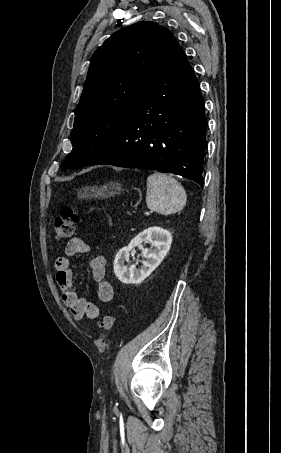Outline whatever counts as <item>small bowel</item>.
<instances>
[{
  "mask_svg": "<svg viewBox=\"0 0 281 453\" xmlns=\"http://www.w3.org/2000/svg\"><path fill=\"white\" fill-rule=\"evenodd\" d=\"M90 252L89 245L81 238H71L63 255L57 257L54 263L56 279L62 290L63 303L71 310L75 319L84 316L96 320L100 315V308L92 302L79 298L72 291V269L70 258L75 254L87 255ZM88 266L93 281L97 285V295L102 302H109L113 298V291L106 274V263L103 255L92 254L88 256Z\"/></svg>",
  "mask_w": 281,
  "mask_h": 453,
  "instance_id": "small-bowel-1",
  "label": "small bowel"
}]
</instances>
